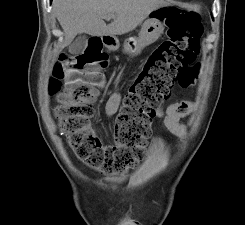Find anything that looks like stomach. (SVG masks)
Instances as JSON below:
<instances>
[{
	"label": "stomach",
	"instance_id": "1",
	"mask_svg": "<svg viewBox=\"0 0 245 225\" xmlns=\"http://www.w3.org/2000/svg\"><path fill=\"white\" fill-rule=\"evenodd\" d=\"M163 7L153 10L148 19L143 23L138 37H129L125 40L123 45V52L129 56H137L146 47L158 40L163 34L164 24L160 19L161 14L164 12ZM119 42L115 40L112 49H117Z\"/></svg>",
	"mask_w": 245,
	"mask_h": 225
}]
</instances>
